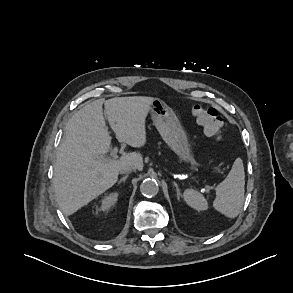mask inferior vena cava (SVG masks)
Wrapping results in <instances>:
<instances>
[{
	"label": "inferior vena cava",
	"instance_id": "1",
	"mask_svg": "<svg viewBox=\"0 0 293 293\" xmlns=\"http://www.w3.org/2000/svg\"><path fill=\"white\" fill-rule=\"evenodd\" d=\"M133 170H136V166L134 164H126L121 167L120 173L126 174V173L133 171Z\"/></svg>",
	"mask_w": 293,
	"mask_h": 293
}]
</instances>
